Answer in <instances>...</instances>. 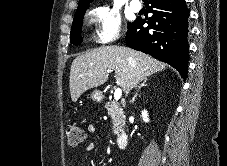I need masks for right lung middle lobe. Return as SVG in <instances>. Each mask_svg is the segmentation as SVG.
Here are the masks:
<instances>
[{"instance_id": "dd1d6c3e", "label": "right lung middle lobe", "mask_w": 227, "mask_h": 166, "mask_svg": "<svg viewBox=\"0 0 227 166\" xmlns=\"http://www.w3.org/2000/svg\"><path fill=\"white\" fill-rule=\"evenodd\" d=\"M86 9H79L76 11L74 20L72 23V28H71V38L70 42L71 44L74 45H80L81 44V29H82V24H83V17L85 14ZM133 23H128V28L132 25Z\"/></svg>"}]
</instances>
